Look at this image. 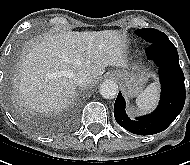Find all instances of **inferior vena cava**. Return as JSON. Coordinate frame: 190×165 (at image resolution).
<instances>
[{"mask_svg": "<svg viewBox=\"0 0 190 165\" xmlns=\"http://www.w3.org/2000/svg\"><path fill=\"white\" fill-rule=\"evenodd\" d=\"M73 80L78 86H86L93 82L92 76L86 71H78L74 74Z\"/></svg>", "mask_w": 190, "mask_h": 165, "instance_id": "obj_1", "label": "inferior vena cava"}]
</instances>
